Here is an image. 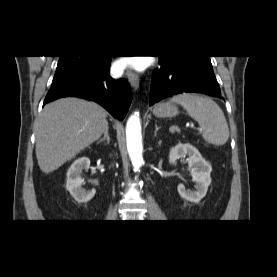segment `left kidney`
I'll use <instances>...</instances> for the list:
<instances>
[{"label":"left kidney","mask_w":277,"mask_h":277,"mask_svg":"<svg viewBox=\"0 0 277 277\" xmlns=\"http://www.w3.org/2000/svg\"><path fill=\"white\" fill-rule=\"evenodd\" d=\"M188 155L187 161L191 169L192 181L196 183V191L186 189L183 184H179L177 189L181 197L189 202L198 203L206 195L211 183L212 167L200 152L191 144L179 143L170 149L169 162L175 165L179 158Z\"/></svg>","instance_id":"obj_1"}]
</instances>
